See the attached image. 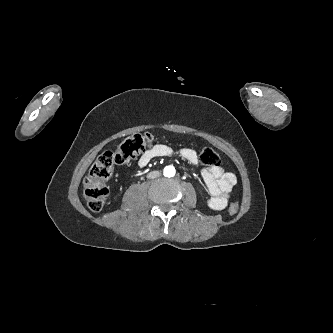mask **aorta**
Wrapping results in <instances>:
<instances>
[{
    "instance_id": "aorta-1",
    "label": "aorta",
    "mask_w": 333,
    "mask_h": 333,
    "mask_svg": "<svg viewBox=\"0 0 333 333\" xmlns=\"http://www.w3.org/2000/svg\"><path fill=\"white\" fill-rule=\"evenodd\" d=\"M176 171L173 166H166L164 168V176L166 177H173L175 175Z\"/></svg>"
}]
</instances>
